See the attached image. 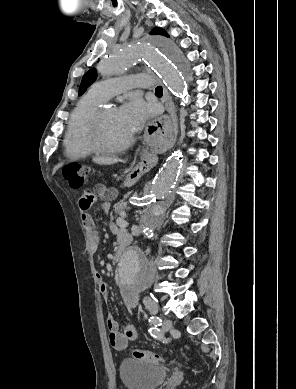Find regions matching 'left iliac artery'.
<instances>
[{
  "label": "left iliac artery",
  "mask_w": 296,
  "mask_h": 389,
  "mask_svg": "<svg viewBox=\"0 0 296 389\" xmlns=\"http://www.w3.org/2000/svg\"><path fill=\"white\" fill-rule=\"evenodd\" d=\"M149 322L151 325L154 326L150 328V334L154 337H157L159 335V330L157 329V326H160L162 324V320L157 316H152L150 317Z\"/></svg>",
  "instance_id": "obj_1"
}]
</instances>
